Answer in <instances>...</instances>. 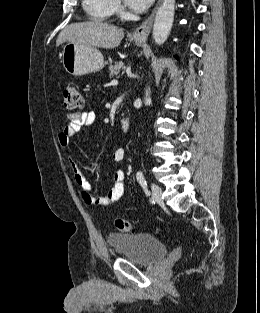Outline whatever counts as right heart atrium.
<instances>
[{"label": "right heart atrium", "mask_w": 260, "mask_h": 313, "mask_svg": "<svg viewBox=\"0 0 260 313\" xmlns=\"http://www.w3.org/2000/svg\"><path fill=\"white\" fill-rule=\"evenodd\" d=\"M114 3V11H119L120 9V4L118 0H113Z\"/></svg>", "instance_id": "obj_1"}]
</instances>
